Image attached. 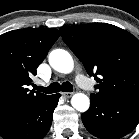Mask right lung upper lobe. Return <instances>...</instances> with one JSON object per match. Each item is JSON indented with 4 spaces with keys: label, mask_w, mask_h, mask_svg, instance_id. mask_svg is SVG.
Listing matches in <instances>:
<instances>
[{
    "label": "right lung upper lobe",
    "mask_w": 139,
    "mask_h": 139,
    "mask_svg": "<svg viewBox=\"0 0 139 139\" xmlns=\"http://www.w3.org/2000/svg\"><path fill=\"white\" fill-rule=\"evenodd\" d=\"M59 36L55 28H24L0 35V121L51 96L35 93L28 86Z\"/></svg>",
    "instance_id": "cb5924a9"
}]
</instances>
